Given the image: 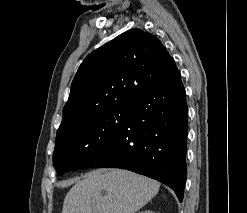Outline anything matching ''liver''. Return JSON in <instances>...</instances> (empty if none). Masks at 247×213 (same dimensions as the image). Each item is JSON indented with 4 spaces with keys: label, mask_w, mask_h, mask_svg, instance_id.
<instances>
[{
    "label": "liver",
    "mask_w": 247,
    "mask_h": 213,
    "mask_svg": "<svg viewBox=\"0 0 247 213\" xmlns=\"http://www.w3.org/2000/svg\"><path fill=\"white\" fill-rule=\"evenodd\" d=\"M159 188L156 180L128 170H94L69 190L62 213H135Z\"/></svg>",
    "instance_id": "obj_1"
}]
</instances>
